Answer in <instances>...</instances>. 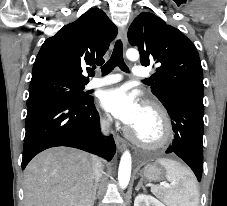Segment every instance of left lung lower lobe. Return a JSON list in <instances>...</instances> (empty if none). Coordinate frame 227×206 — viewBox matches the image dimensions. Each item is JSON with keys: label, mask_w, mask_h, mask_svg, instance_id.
Wrapping results in <instances>:
<instances>
[{"label": "left lung lower lobe", "mask_w": 227, "mask_h": 206, "mask_svg": "<svg viewBox=\"0 0 227 206\" xmlns=\"http://www.w3.org/2000/svg\"><path fill=\"white\" fill-rule=\"evenodd\" d=\"M171 117L174 140L166 153L176 154L193 170L198 181L203 168V99L183 96L164 104Z\"/></svg>", "instance_id": "obj_1"}]
</instances>
